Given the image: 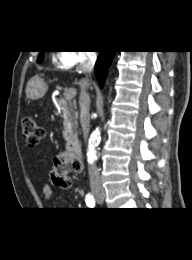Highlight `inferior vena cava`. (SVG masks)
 <instances>
[{"mask_svg":"<svg viewBox=\"0 0 192 260\" xmlns=\"http://www.w3.org/2000/svg\"><path fill=\"white\" fill-rule=\"evenodd\" d=\"M96 58H97L96 53L94 51H89L78 67L80 72L86 75V78L82 79L79 82L81 88L80 97H79L80 122H81L83 135L85 139L87 138L90 129V113H89L90 97L89 94L86 92V87L88 84L87 76L92 72ZM90 183L93 189L102 188L100 173L95 164H93L90 168Z\"/></svg>","mask_w":192,"mask_h":260,"instance_id":"inferior-vena-cava-1","label":"inferior vena cava"}]
</instances>
